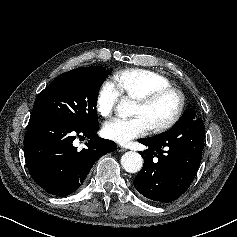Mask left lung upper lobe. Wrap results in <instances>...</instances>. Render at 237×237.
<instances>
[{
  "instance_id": "obj_1",
  "label": "left lung upper lobe",
  "mask_w": 237,
  "mask_h": 237,
  "mask_svg": "<svg viewBox=\"0 0 237 237\" xmlns=\"http://www.w3.org/2000/svg\"><path fill=\"white\" fill-rule=\"evenodd\" d=\"M196 115V112L194 109H190V110H186L184 112V114L182 115V117L179 119V121L174 125V127L172 129H170L169 131L165 132V133H162L158 136H155L153 138H159L161 137L162 135H165L169 132H171L172 130H174L175 128L179 127L184 121H187L188 119H191V118H194Z\"/></svg>"
}]
</instances>
